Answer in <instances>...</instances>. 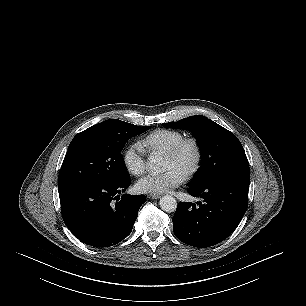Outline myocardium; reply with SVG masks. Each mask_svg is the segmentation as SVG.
<instances>
[{
	"label": "myocardium",
	"mask_w": 306,
	"mask_h": 306,
	"mask_svg": "<svg viewBox=\"0 0 306 306\" xmlns=\"http://www.w3.org/2000/svg\"><path fill=\"white\" fill-rule=\"evenodd\" d=\"M188 145H191L195 150V161L193 166L184 176L185 180L193 178L198 173L202 165L203 150L200 142L194 137H185L165 153V156L168 158L171 159L177 158L180 155V153L183 151V149Z\"/></svg>",
	"instance_id": "myocardium-1"
}]
</instances>
